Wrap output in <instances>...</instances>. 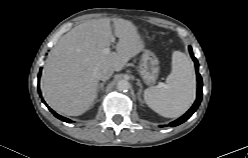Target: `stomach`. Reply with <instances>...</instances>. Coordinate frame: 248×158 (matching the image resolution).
Here are the masks:
<instances>
[{"label":"stomach","mask_w":248,"mask_h":158,"mask_svg":"<svg viewBox=\"0 0 248 158\" xmlns=\"http://www.w3.org/2000/svg\"><path fill=\"white\" fill-rule=\"evenodd\" d=\"M139 74L146 84L153 85L156 83L159 75V60L150 50L143 51L139 65Z\"/></svg>","instance_id":"1"}]
</instances>
